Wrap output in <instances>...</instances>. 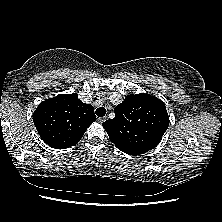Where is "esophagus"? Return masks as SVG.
<instances>
[{
    "label": "esophagus",
    "mask_w": 222,
    "mask_h": 222,
    "mask_svg": "<svg viewBox=\"0 0 222 222\" xmlns=\"http://www.w3.org/2000/svg\"><path fill=\"white\" fill-rule=\"evenodd\" d=\"M99 122L103 123L106 120V117H98L97 119Z\"/></svg>",
    "instance_id": "1"
}]
</instances>
